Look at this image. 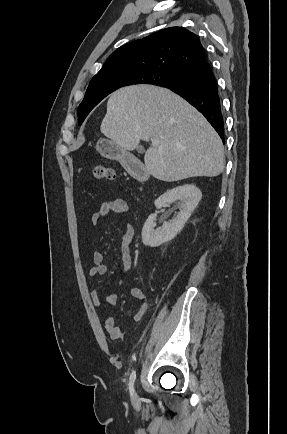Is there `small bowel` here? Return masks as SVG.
Masks as SVG:
<instances>
[{"instance_id": "c3829d8e", "label": "small bowel", "mask_w": 287, "mask_h": 434, "mask_svg": "<svg viewBox=\"0 0 287 434\" xmlns=\"http://www.w3.org/2000/svg\"><path fill=\"white\" fill-rule=\"evenodd\" d=\"M111 212H115L125 217L129 213V205L126 201L121 198L113 197L104 202L100 208L95 211L91 216V223L94 226H100L102 220ZM134 238L133 227L126 223L124 233L121 239V253H122V273H126L131 266V245ZM93 265L90 268V275L93 277L105 276L108 273V267L103 263V255L99 251H95L92 255ZM133 298L140 302V305L134 315V320L140 322L148 308L146 301V296L143 290L137 286L133 285L130 289ZM90 299L92 303L98 307L102 308L103 303L114 305L116 303L117 297L115 294L108 295L102 300L98 291L93 290L90 293ZM103 328L110 334L112 339H121L124 337L126 331L120 326L115 324V320L111 315L106 314L102 321Z\"/></svg>"}]
</instances>
